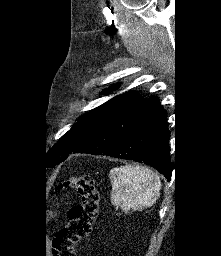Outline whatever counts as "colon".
Wrapping results in <instances>:
<instances>
[{"label":"colon","mask_w":221,"mask_h":256,"mask_svg":"<svg viewBox=\"0 0 221 256\" xmlns=\"http://www.w3.org/2000/svg\"><path fill=\"white\" fill-rule=\"evenodd\" d=\"M60 188L76 190L81 197V203L71 209L69 222L56 233L53 253L54 256H76V245L92 231L99 209V194L88 175L70 177Z\"/></svg>","instance_id":"1"}]
</instances>
